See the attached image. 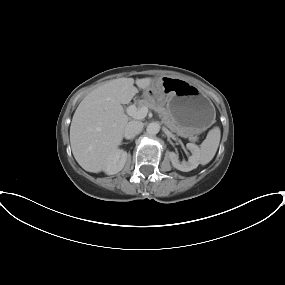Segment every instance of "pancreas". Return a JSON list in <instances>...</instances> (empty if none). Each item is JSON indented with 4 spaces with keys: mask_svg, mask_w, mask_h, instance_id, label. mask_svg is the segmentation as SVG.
I'll return each instance as SVG.
<instances>
[{
    "mask_svg": "<svg viewBox=\"0 0 285 285\" xmlns=\"http://www.w3.org/2000/svg\"><path fill=\"white\" fill-rule=\"evenodd\" d=\"M138 108L147 107L159 113V116L162 118L163 122L170 128L171 131L177 133L182 137H189V140L196 141L197 137L187 133L184 129L176 126L173 121L169 118L167 110L160 104H157L155 101L143 99L139 100L137 103Z\"/></svg>",
    "mask_w": 285,
    "mask_h": 285,
    "instance_id": "pancreas-1",
    "label": "pancreas"
}]
</instances>
